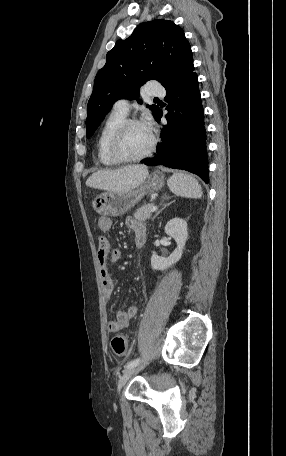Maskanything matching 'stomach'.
I'll list each match as a JSON object with an SVG mask.
<instances>
[{
  "label": "stomach",
  "mask_w": 286,
  "mask_h": 456,
  "mask_svg": "<svg viewBox=\"0 0 286 456\" xmlns=\"http://www.w3.org/2000/svg\"><path fill=\"white\" fill-rule=\"evenodd\" d=\"M164 185V176L155 171L137 188L123 193L106 192L92 201L93 209L102 215L121 216L137 204L145 195L158 191Z\"/></svg>",
  "instance_id": "obj_1"
}]
</instances>
